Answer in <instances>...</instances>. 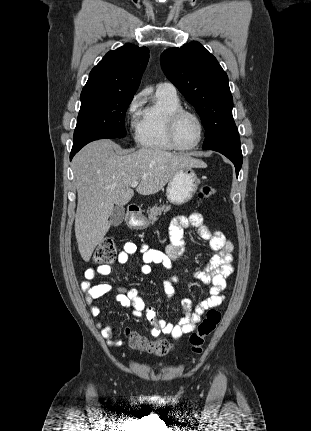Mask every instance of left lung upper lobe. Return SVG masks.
<instances>
[{"mask_svg": "<svg viewBox=\"0 0 311 431\" xmlns=\"http://www.w3.org/2000/svg\"><path fill=\"white\" fill-rule=\"evenodd\" d=\"M163 72L195 107L206 130L203 149L240 144L228 76L199 42L169 48L160 58Z\"/></svg>", "mask_w": 311, "mask_h": 431, "instance_id": "obj_1", "label": "left lung upper lobe"}]
</instances>
